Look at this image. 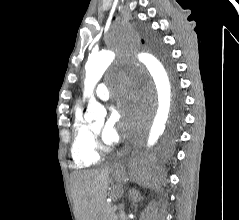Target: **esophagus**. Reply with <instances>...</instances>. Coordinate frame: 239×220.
Listing matches in <instances>:
<instances>
[{
    "label": "esophagus",
    "instance_id": "34e87169",
    "mask_svg": "<svg viewBox=\"0 0 239 220\" xmlns=\"http://www.w3.org/2000/svg\"><path fill=\"white\" fill-rule=\"evenodd\" d=\"M121 169V165H118L117 167H116V170H120Z\"/></svg>",
    "mask_w": 239,
    "mask_h": 220
}]
</instances>
